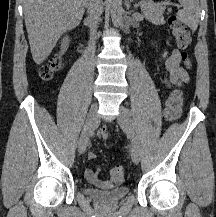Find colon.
<instances>
[{"label":"colon","instance_id":"obj_1","mask_svg":"<svg viewBox=\"0 0 216 217\" xmlns=\"http://www.w3.org/2000/svg\"><path fill=\"white\" fill-rule=\"evenodd\" d=\"M168 25L172 31L175 44L178 49L182 51V56L185 57V51L190 45V32L187 26L182 23L175 15H171L168 18ZM62 66V59L56 57L52 61L43 66L40 70V77L43 80H49L53 77L54 73L59 70ZM184 104V97L180 87L174 88L166 101V108L164 112V117L169 122L176 121L180 114ZM98 137L106 141L109 139V130L107 127L103 126L98 130ZM125 178L124 169L122 166L117 165L111 169V179L115 183H122Z\"/></svg>","mask_w":216,"mask_h":217}]
</instances>
